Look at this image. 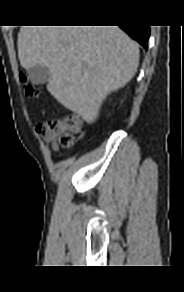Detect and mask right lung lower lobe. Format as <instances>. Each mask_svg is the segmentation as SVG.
Listing matches in <instances>:
<instances>
[{
  "label": "right lung lower lobe",
  "instance_id": "obj_1",
  "mask_svg": "<svg viewBox=\"0 0 184 292\" xmlns=\"http://www.w3.org/2000/svg\"><path fill=\"white\" fill-rule=\"evenodd\" d=\"M131 38L140 43L145 49L148 47L150 36L149 26H120Z\"/></svg>",
  "mask_w": 184,
  "mask_h": 292
}]
</instances>
